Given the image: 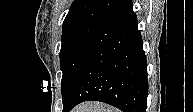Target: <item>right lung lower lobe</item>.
I'll return each mask as SVG.
<instances>
[{"mask_svg":"<svg viewBox=\"0 0 193 112\" xmlns=\"http://www.w3.org/2000/svg\"><path fill=\"white\" fill-rule=\"evenodd\" d=\"M137 19L116 31L87 60L78 73L63 112L96 100L123 112H146L147 62Z\"/></svg>","mask_w":193,"mask_h":112,"instance_id":"right-lung-lower-lobe-1","label":"right lung lower lobe"}]
</instances>
